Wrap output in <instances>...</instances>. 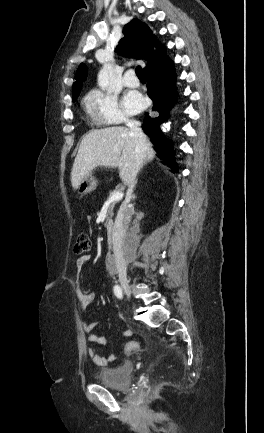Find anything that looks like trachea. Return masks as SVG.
<instances>
[{"label":"trachea","mask_w":264,"mask_h":433,"mask_svg":"<svg viewBox=\"0 0 264 433\" xmlns=\"http://www.w3.org/2000/svg\"><path fill=\"white\" fill-rule=\"evenodd\" d=\"M135 73H136V75H137L138 78H144V75H143V73H142V70H141V68H140L139 66L136 67V69H135Z\"/></svg>","instance_id":"3493384b"}]
</instances>
